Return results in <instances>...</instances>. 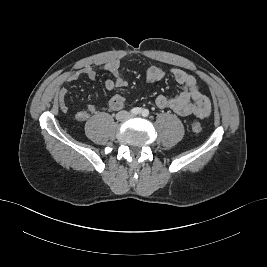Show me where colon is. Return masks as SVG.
<instances>
[{
	"label": "colon",
	"mask_w": 267,
	"mask_h": 267,
	"mask_svg": "<svg viewBox=\"0 0 267 267\" xmlns=\"http://www.w3.org/2000/svg\"><path fill=\"white\" fill-rule=\"evenodd\" d=\"M192 130L193 132L195 133H200L202 131V126L199 122H195L193 125H192Z\"/></svg>",
	"instance_id": "5ec220e1"
}]
</instances>
